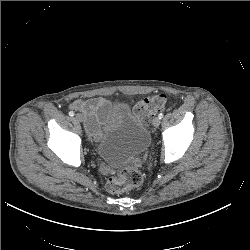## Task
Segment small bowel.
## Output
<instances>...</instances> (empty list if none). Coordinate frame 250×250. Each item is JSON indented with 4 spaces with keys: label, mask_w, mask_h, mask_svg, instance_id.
I'll return each instance as SVG.
<instances>
[{
    "label": "small bowel",
    "mask_w": 250,
    "mask_h": 250,
    "mask_svg": "<svg viewBox=\"0 0 250 250\" xmlns=\"http://www.w3.org/2000/svg\"><path fill=\"white\" fill-rule=\"evenodd\" d=\"M110 106V102L105 98L95 97L86 100H75L70 107L83 114L84 126L87 132L95 136L98 133L100 122L107 117Z\"/></svg>",
    "instance_id": "c3829d8e"
}]
</instances>
